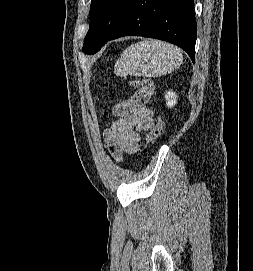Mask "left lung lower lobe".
<instances>
[{
  "label": "left lung lower lobe",
  "instance_id": "obj_1",
  "mask_svg": "<svg viewBox=\"0 0 253 271\" xmlns=\"http://www.w3.org/2000/svg\"><path fill=\"white\" fill-rule=\"evenodd\" d=\"M135 35L181 47L195 62L196 20L193 0H131V6L106 41Z\"/></svg>",
  "mask_w": 253,
  "mask_h": 271
}]
</instances>
